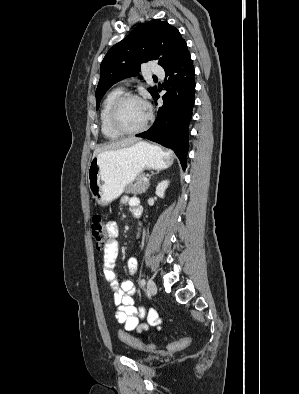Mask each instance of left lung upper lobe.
I'll list each match as a JSON object with an SVG mask.
<instances>
[{
	"instance_id": "1",
	"label": "left lung upper lobe",
	"mask_w": 299,
	"mask_h": 394,
	"mask_svg": "<svg viewBox=\"0 0 299 394\" xmlns=\"http://www.w3.org/2000/svg\"><path fill=\"white\" fill-rule=\"evenodd\" d=\"M186 46L179 31L166 21L153 19L136 27L125 39L115 44L104 57L96 90V109L106 91L116 82L137 76L141 63L157 60L166 68ZM152 97L157 88H149Z\"/></svg>"
}]
</instances>
